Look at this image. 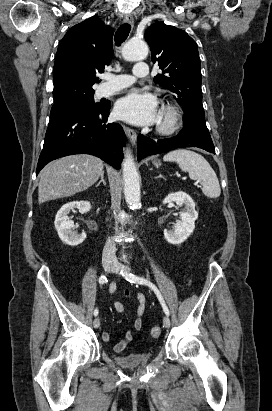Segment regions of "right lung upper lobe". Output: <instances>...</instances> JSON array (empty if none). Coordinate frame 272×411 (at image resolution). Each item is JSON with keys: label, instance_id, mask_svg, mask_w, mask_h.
<instances>
[{"label": "right lung upper lobe", "instance_id": "right-lung-upper-lobe-1", "mask_svg": "<svg viewBox=\"0 0 272 411\" xmlns=\"http://www.w3.org/2000/svg\"><path fill=\"white\" fill-rule=\"evenodd\" d=\"M113 29L91 17L73 26L61 40L54 63V103L92 89L113 57Z\"/></svg>", "mask_w": 272, "mask_h": 411}]
</instances>
